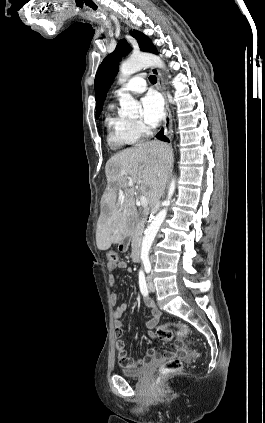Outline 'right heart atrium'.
<instances>
[{"label": "right heart atrium", "mask_w": 265, "mask_h": 423, "mask_svg": "<svg viewBox=\"0 0 265 423\" xmlns=\"http://www.w3.org/2000/svg\"><path fill=\"white\" fill-rule=\"evenodd\" d=\"M133 123H134V127H135L137 133L140 136H144V135H146L148 133V128L142 122L135 121Z\"/></svg>", "instance_id": "obj_1"}]
</instances>
